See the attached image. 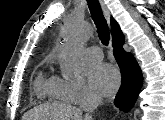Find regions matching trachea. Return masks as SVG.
I'll return each instance as SVG.
<instances>
[{
	"instance_id": "trachea-1",
	"label": "trachea",
	"mask_w": 165,
	"mask_h": 120,
	"mask_svg": "<svg viewBox=\"0 0 165 120\" xmlns=\"http://www.w3.org/2000/svg\"><path fill=\"white\" fill-rule=\"evenodd\" d=\"M87 3L92 19L96 25L98 36L102 44L108 46L110 41V33L100 3L98 0H87Z\"/></svg>"
}]
</instances>
